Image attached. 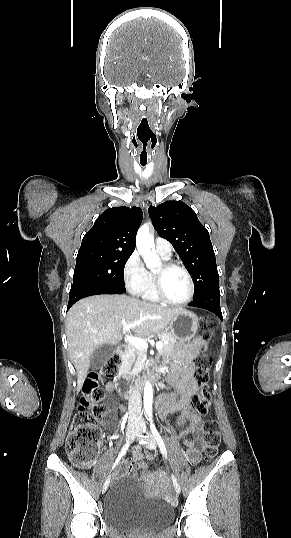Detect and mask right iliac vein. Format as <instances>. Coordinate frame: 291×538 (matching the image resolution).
I'll return each mask as SVG.
<instances>
[{"instance_id":"63e3f726","label":"right iliac vein","mask_w":291,"mask_h":538,"mask_svg":"<svg viewBox=\"0 0 291 538\" xmlns=\"http://www.w3.org/2000/svg\"><path fill=\"white\" fill-rule=\"evenodd\" d=\"M137 428H138L137 421H130L128 423L127 431H126V442H131V440L133 439V437H134V435H135V433L137 431ZM115 472H116V470H115ZM109 483H110V477H108L106 479V481L104 482V484H103V487H102V492L103 493L107 490V488L109 486Z\"/></svg>"}]
</instances>
